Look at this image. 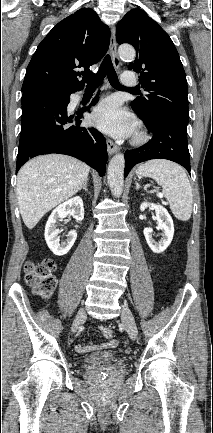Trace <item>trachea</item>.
<instances>
[{"mask_svg": "<svg viewBox=\"0 0 213 433\" xmlns=\"http://www.w3.org/2000/svg\"><path fill=\"white\" fill-rule=\"evenodd\" d=\"M107 76L109 83L117 89H129V90H135L134 88H126L122 86L118 80V76L116 74V71L113 67L111 57L109 55H106L103 62L101 63L98 72L91 77H88L87 82V88L88 89H96L103 81V79Z\"/></svg>", "mask_w": 213, "mask_h": 433, "instance_id": "1", "label": "trachea"}]
</instances>
